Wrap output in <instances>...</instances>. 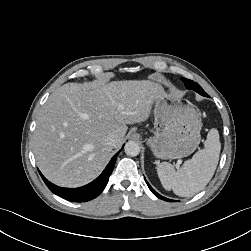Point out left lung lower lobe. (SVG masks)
<instances>
[{
	"instance_id": "left-lung-lower-lobe-1",
	"label": "left lung lower lobe",
	"mask_w": 251,
	"mask_h": 251,
	"mask_svg": "<svg viewBox=\"0 0 251 251\" xmlns=\"http://www.w3.org/2000/svg\"><path fill=\"white\" fill-rule=\"evenodd\" d=\"M146 183H147L149 189L151 190V192H152L155 196H157L158 198H160V199H162V200H165V201H168V202H173V200L167 199V198L161 196L160 194H158V193L149 185V183H148L147 181H146Z\"/></svg>"
}]
</instances>
